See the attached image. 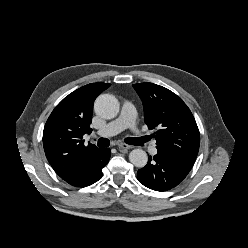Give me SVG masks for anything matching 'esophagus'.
I'll list each match as a JSON object with an SVG mask.
<instances>
[{"mask_svg":"<svg viewBox=\"0 0 248 248\" xmlns=\"http://www.w3.org/2000/svg\"><path fill=\"white\" fill-rule=\"evenodd\" d=\"M118 147H119V150H120V151H126V150H128V149L131 148L130 145H127V144H125V143H119V144H118Z\"/></svg>","mask_w":248,"mask_h":248,"instance_id":"1","label":"esophagus"}]
</instances>
